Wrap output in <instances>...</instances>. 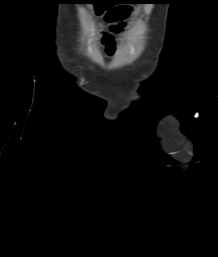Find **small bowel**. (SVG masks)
<instances>
[{"instance_id": "1", "label": "small bowel", "mask_w": 218, "mask_h": 257, "mask_svg": "<svg viewBox=\"0 0 218 257\" xmlns=\"http://www.w3.org/2000/svg\"><path fill=\"white\" fill-rule=\"evenodd\" d=\"M127 15L132 12V10H125ZM113 30H118L117 26L112 25ZM100 39L102 45L105 47V50L108 54H112L115 47V42L111 33L102 31L100 33ZM105 60H114V55H105Z\"/></svg>"}]
</instances>
